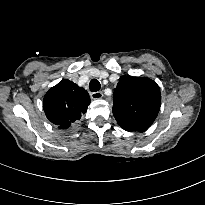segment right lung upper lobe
<instances>
[{"label": "right lung upper lobe", "instance_id": "obj_1", "mask_svg": "<svg viewBox=\"0 0 205 205\" xmlns=\"http://www.w3.org/2000/svg\"><path fill=\"white\" fill-rule=\"evenodd\" d=\"M89 104L88 92L68 79L50 88L43 99L46 117L60 129L68 128L79 120Z\"/></svg>", "mask_w": 205, "mask_h": 205}]
</instances>
